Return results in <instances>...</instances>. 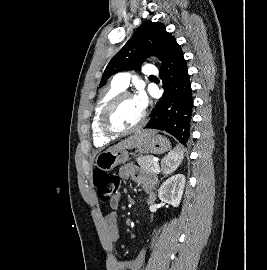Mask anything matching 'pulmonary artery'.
<instances>
[{
    "instance_id": "e3ab8cb5",
    "label": "pulmonary artery",
    "mask_w": 267,
    "mask_h": 270,
    "mask_svg": "<svg viewBox=\"0 0 267 270\" xmlns=\"http://www.w3.org/2000/svg\"><path fill=\"white\" fill-rule=\"evenodd\" d=\"M143 73L146 75H155L157 73V69L155 66L147 64L143 67ZM130 78H131L130 73L120 72L114 76L113 82L121 89H126L127 86L129 85Z\"/></svg>"
}]
</instances>
